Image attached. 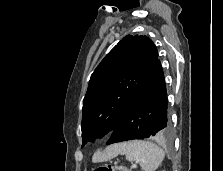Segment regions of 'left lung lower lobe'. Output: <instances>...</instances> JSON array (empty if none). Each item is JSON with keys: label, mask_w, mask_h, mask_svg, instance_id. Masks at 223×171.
I'll use <instances>...</instances> for the list:
<instances>
[{"label": "left lung lower lobe", "mask_w": 223, "mask_h": 171, "mask_svg": "<svg viewBox=\"0 0 223 171\" xmlns=\"http://www.w3.org/2000/svg\"><path fill=\"white\" fill-rule=\"evenodd\" d=\"M171 136L166 85L157 58L144 84L113 129L107 145L133 139L166 141Z\"/></svg>", "instance_id": "left-lung-lower-lobe-1"}]
</instances>
